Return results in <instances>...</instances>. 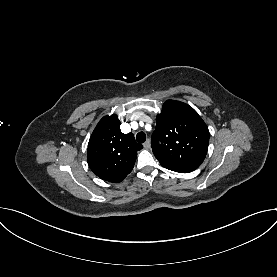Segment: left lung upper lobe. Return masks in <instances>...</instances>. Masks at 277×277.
I'll return each mask as SVG.
<instances>
[{"label": "left lung upper lobe", "mask_w": 277, "mask_h": 277, "mask_svg": "<svg viewBox=\"0 0 277 277\" xmlns=\"http://www.w3.org/2000/svg\"><path fill=\"white\" fill-rule=\"evenodd\" d=\"M208 143V127L191 106L174 100L164 103L151 145L163 167L180 173L194 171L205 159Z\"/></svg>", "instance_id": "obj_1"}]
</instances>
